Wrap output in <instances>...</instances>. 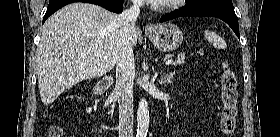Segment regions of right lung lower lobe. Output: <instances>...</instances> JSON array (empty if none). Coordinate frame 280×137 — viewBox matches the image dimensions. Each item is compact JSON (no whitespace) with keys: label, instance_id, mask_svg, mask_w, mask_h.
<instances>
[{"label":"right lung lower lobe","instance_id":"1","mask_svg":"<svg viewBox=\"0 0 280 137\" xmlns=\"http://www.w3.org/2000/svg\"><path fill=\"white\" fill-rule=\"evenodd\" d=\"M123 1L124 0H50L45 16L43 17V22H45V20L54 12H56L58 9L62 8L63 6L69 3H73V2L93 3L101 7H104L105 9L111 12L121 13L123 7Z\"/></svg>","mask_w":280,"mask_h":137}]
</instances>
